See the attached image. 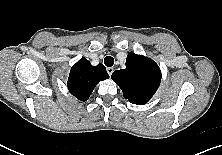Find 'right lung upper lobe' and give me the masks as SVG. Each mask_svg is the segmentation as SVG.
<instances>
[{"mask_svg":"<svg viewBox=\"0 0 222 155\" xmlns=\"http://www.w3.org/2000/svg\"><path fill=\"white\" fill-rule=\"evenodd\" d=\"M109 78L102 64L92 66L86 58H81L74 64L68 75L67 86L72 95L80 101H86L96 85Z\"/></svg>","mask_w":222,"mask_h":155,"instance_id":"right-lung-upper-lobe-1","label":"right lung upper lobe"}]
</instances>
